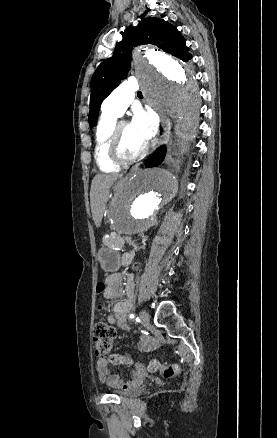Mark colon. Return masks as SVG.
I'll list each match as a JSON object with an SVG mask.
<instances>
[{
	"label": "colon",
	"mask_w": 277,
	"mask_h": 438,
	"mask_svg": "<svg viewBox=\"0 0 277 438\" xmlns=\"http://www.w3.org/2000/svg\"><path fill=\"white\" fill-rule=\"evenodd\" d=\"M105 285L103 282H98V292L102 293L104 291ZM99 311H103L105 306L100 304L98 306ZM116 336V332L114 328L107 325L106 323L99 322L93 327V344L96 349L97 354L102 359V361L108 360L112 363L122 364L126 363L129 360L125 359L121 355H111L109 356V352L113 348L114 339ZM152 369L155 371H160L164 378H173L180 373V365L175 363L173 365H163L159 360L155 359L152 362ZM175 389H186L188 383L186 380H175L173 383Z\"/></svg>",
	"instance_id": "colon-1"
}]
</instances>
